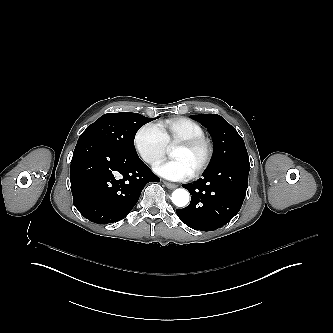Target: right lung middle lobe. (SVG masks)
I'll return each mask as SVG.
<instances>
[{
	"mask_svg": "<svg viewBox=\"0 0 333 333\" xmlns=\"http://www.w3.org/2000/svg\"><path fill=\"white\" fill-rule=\"evenodd\" d=\"M159 118H147L138 113H107L88 126L80 135L78 142L97 140L113 150L129 156H138L134 146V138L138 129Z\"/></svg>",
	"mask_w": 333,
	"mask_h": 333,
	"instance_id": "obj_1",
	"label": "right lung middle lobe"
}]
</instances>
